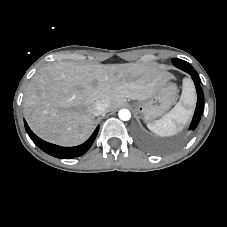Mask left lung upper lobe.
<instances>
[{
	"label": "left lung upper lobe",
	"mask_w": 227,
	"mask_h": 227,
	"mask_svg": "<svg viewBox=\"0 0 227 227\" xmlns=\"http://www.w3.org/2000/svg\"><path fill=\"white\" fill-rule=\"evenodd\" d=\"M177 62H181V59H177V58L172 59V63H173V64H175V63H177Z\"/></svg>",
	"instance_id": "obj_1"
}]
</instances>
